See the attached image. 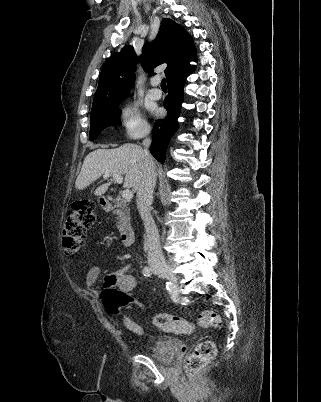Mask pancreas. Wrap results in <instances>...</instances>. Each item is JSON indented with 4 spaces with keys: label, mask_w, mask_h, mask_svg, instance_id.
I'll return each mask as SVG.
<instances>
[{
    "label": "pancreas",
    "mask_w": 321,
    "mask_h": 402,
    "mask_svg": "<svg viewBox=\"0 0 321 402\" xmlns=\"http://www.w3.org/2000/svg\"><path fill=\"white\" fill-rule=\"evenodd\" d=\"M114 214H116L119 221H128L130 216V209L127 207L125 200H121L117 204V209Z\"/></svg>",
    "instance_id": "cf45deb5"
}]
</instances>
